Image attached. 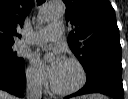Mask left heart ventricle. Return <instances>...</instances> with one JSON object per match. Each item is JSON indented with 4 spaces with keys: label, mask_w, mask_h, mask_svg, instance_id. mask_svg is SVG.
<instances>
[{
    "label": "left heart ventricle",
    "mask_w": 128,
    "mask_h": 99,
    "mask_svg": "<svg viewBox=\"0 0 128 99\" xmlns=\"http://www.w3.org/2000/svg\"><path fill=\"white\" fill-rule=\"evenodd\" d=\"M80 80V72L76 65L64 61L55 79L54 85L60 89H68L75 86Z\"/></svg>",
    "instance_id": "b2bd125f"
}]
</instances>
